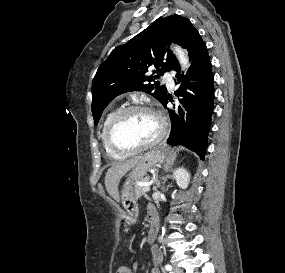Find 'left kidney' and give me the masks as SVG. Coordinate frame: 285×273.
Returning <instances> with one entry per match:
<instances>
[{
    "mask_svg": "<svg viewBox=\"0 0 285 273\" xmlns=\"http://www.w3.org/2000/svg\"><path fill=\"white\" fill-rule=\"evenodd\" d=\"M173 176L180 188L186 189L188 187L190 174L184 168L177 169Z\"/></svg>",
    "mask_w": 285,
    "mask_h": 273,
    "instance_id": "left-kidney-1",
    "label": "left kidney"
}]
</instances>
